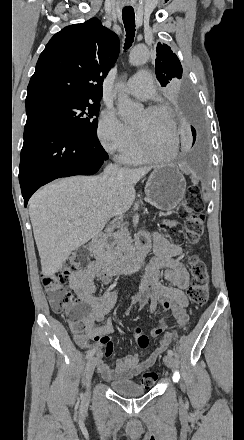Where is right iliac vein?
Here are the masks:
<instances>
[{
  "mask_svg": "<svg viewBox=\"0 0 244 440\" xmlns=\"http://www.w3.org/2000/svg\"><path fill=\"white\" fill-rule=\"evenodd\" d=\"M96 364H97V358L91 357L86 365V377H87L88 381H90L93 376ZM89 389H90V383H88V385H87V390H89ZM88 394L89 393L87 392V395Z\"/></svg>",
  "mask_w": 244,
  "mask_h": 440,
  "instance_id": "obj_1",
  "label": "right iliac vein"
}]
</instances>
